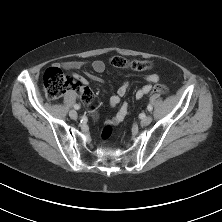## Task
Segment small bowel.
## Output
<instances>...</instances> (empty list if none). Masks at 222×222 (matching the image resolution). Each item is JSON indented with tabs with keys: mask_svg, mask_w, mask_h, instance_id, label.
<instances>
[{
	"mask_svg": "<svg viewBox=\"0 0 222 222\" xmlns=\"http://www.w3.org/2000/svg\"><path fill=\"white\" fill-rule=\"evenodd\" d=\"M85 65H86L85 62L77 61V60L65 61L61 63V67L67 71H77V70L82 69ZM90 66L95 73H102L105 70V64L101 60H95L91 62ZM75 77L82 85L88 84V80L85 77L80 76V75H75ZM88 77L95 81H99V82L102 81L100 78L92 74H88ZM145 80L147 81V84L139 88L135 92L136 99H141L145 95L150 93L152 91L153 86L159 81V76L154 73L149 74L145 76ZM128 89H129V83L127 81L123 82L117 89L116 94L111 96L109 100L110 106L116 107L117 105H119L121 102V99L127 94ZM90 97H91V94H90ZM127 115H128V104L124 102L121 105V107L118 109V111L111 118L107 119L106 123L109 125L120 124L127 117Z\"/></svg>",
	"mask_w": 222,
	"mask_h": 222,
	"instance_id": "small-bowel-1",
	"label": "small bowel"
}]
</instances>
